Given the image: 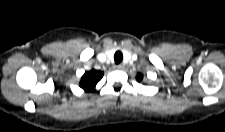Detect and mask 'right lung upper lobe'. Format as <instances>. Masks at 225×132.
<instances>
[{"instance_id":"1","label":"right lung upper lobe","mask_w":225,"mask_h":132,"mask_svg":"<svg viewBox=\"0 0 225 132\" xmlns=\"http://www.w3.org/2000/svg\"><path fill=\"white\" fill-rule=\"evenodd\" d=\"M103 74V72L95 69L85 72L81 78L80 87L85 91H94L96 84L101 80Z\"/></svg>"}]
</instances>
